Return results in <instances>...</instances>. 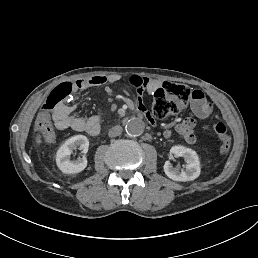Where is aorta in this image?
<instances>
[{
  "mask_svg": "<svg viewBox=\"0 0 258 258\" xmlns=\"http://www.w3.org/2000/svg\"><path fill=\"white\" fill-rule=\"evenodd\" d=\"M145 129V123L142 119L133 117L129 119L125 125L126 133L131 137L140 136Z\"/></svg>",
  "mask_w": 258,
  "mask_h": 258,
  "instance_id": "762f6f07",
  "label": "aorta"
}]
</instances>
